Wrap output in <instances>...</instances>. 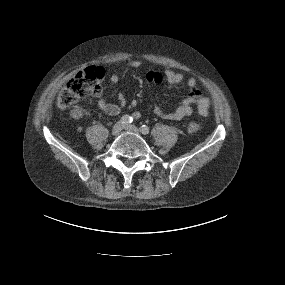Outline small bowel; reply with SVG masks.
<instances>
[{
  "label": "small bowel",
  "instance_id": "c3829d8e",
  "mask_svg": "<svg viewBox=\"0 0 285 285\" xmlns=\"http://www.w3.org/2000/svg\"><path fill=\"white\" fill-rule=\"evenodd\" d=\"M142 66V62L139 60H133L128 64L129 69H136ZM146 80L149 83L159 84L166 80L170 84H179L185 81V77L182 73L175 72L171 69H165L162 73L156 71H150L146 75ZM110 81L113 84L119 82V76L116 73L111 74ZM186 85L189 90V95L183 100L182 104L173 111H166L161 108H155L154 113L157 117L163 120L180 121L192 114L193 106H197L198 112L202 116H207L209 113L210 101L207 97L203 96L198 88V84L195 78L190 77L186 80ZM120 105L107 102L103 97L98 100V107L104 113L115 116L120 113L121 107L125 105L126 99L124 94L118 95ZM140 113H134L135 119L140 118Z\"/></svg>",
  "mask_w": 285,
  "mask_h": 285
}]
</instances>
